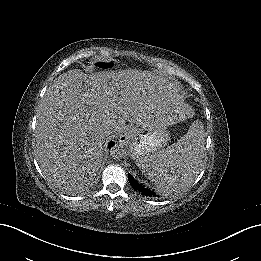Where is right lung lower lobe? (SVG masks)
Returning a JSON list of instances; mask_svg holds the SVG:
<instances>
[{
  "instance_id": "obj_1",
  "label": "right lung lower lobe",
  "mask_w": 261,
  "mask_h": 261,
  "mask_svg": "<svg viewBox=\"0 0 261 261\" xmlns=\"http://www.w3.org/2000/svg\"><path fill=\"white\" fill-rule=\"evenodd\" d=\"M113 145H114V143L112 142V143L109 144V147L111 148Z\"/></svg>"
}]
</instances>
